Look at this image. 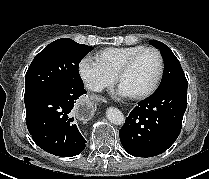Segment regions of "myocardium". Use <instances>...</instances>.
I'll return each instance as SVG.
<instances>
[{
    "instance_id": "myocardium-1",
    "label": "myocardium",
    "mask_w": 209,
    "mask_h": 179,
    "mask_svg": "<svg viewBox=\"0 0 209 179\" xmlns=\"http://www.w3.org/2000/svg\"><path fill=\"white\" fill-rule=\"evenodd\" d=\"M146 52H153L157 55L158 57V61H159V69H158V73L157 76L155 78V80L153 81V83L150 85V87H148L146 90L134 94V95H130V97L132 99H144L147 98L148 96L152 95L156 89L158 88L161 79L163 77L164 74V69H165V62H164V58L162 53L154 47H144L143 49L139 50L138 52L134 53L132 56H130L123 64L122 66L119 68V70L117 71L114 79L115 82L117 84H119L120 79L122 78V76L127 73L129 71V69L133 66V64L136 62V60L144 53Z\"/></svg>"
}]
</instances>
